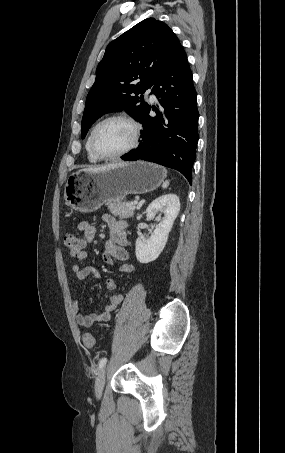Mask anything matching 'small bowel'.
<instances>
[{
	"label": "small bowel",
	"instance_id": "c3829d8e",
	"mask_svg": "<svg viewBox=\"0 0 285 453\" xmlns=\"http://www.w3.org/2000/svg\"><path fill=\"white\" fill-rule=\"evenodd\" d=\"M104 222L109 227V239L105 243V251L103 253V260L108 265H114L115 261H121L122 264L118 269L123 273H133L135 271L134 264L128 262L129 254L125 246L127 244V228L128 223L124 220H115L110 216L103 218ZM77 228L84 234L85 240L88 243L93 242L96 236L97 227L88 220H82L78 223ZM87 259V253L83 251L78 257V263L72 266V273L78 280L86 279L89 276L99 278L100 273L96 267L91 265H83ZM106 287L108 292L106 298L108 303L104 310L99 313L82 314L79 312V304L77 300L72 303V311L75 315V322L78 326L89 328L95 323L107 321L111 317L112 311L123 300L121 294H113L111 291L116 289V283L112 278L106 280Z\"/></svg>",
	"mask_w": 285,
	"mask_h": 453
}]
</instances>
